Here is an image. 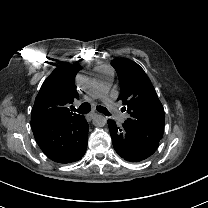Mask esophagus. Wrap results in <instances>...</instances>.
Here are the masks:
<instances>
[{
    "label": "esophagus",
    "mask_w": 208,
    "mask_h": 208,
    "mask_svg": "<svg viewBox=\"0 0 208 208\" xmlns=\"http://www.w3.org/2000/svg\"><path fill=\"white\" fill-rule=\"evenodd\" d=\"M95 116H97V113H90L86 116L87 120H92Z\"/></svg>",
    "instance_id": "obj_1"
}]
</instances>
